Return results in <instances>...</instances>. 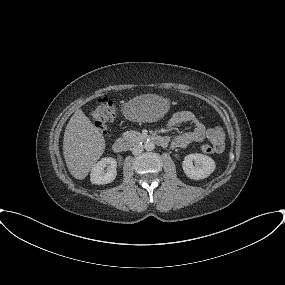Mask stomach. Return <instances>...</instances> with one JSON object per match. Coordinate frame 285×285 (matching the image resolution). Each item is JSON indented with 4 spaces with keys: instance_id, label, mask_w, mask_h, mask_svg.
Instances as JSON below:
<instances>
[{
    "instance_id": "stomach-1",
    "label": "stomach",
    "mask_w": 285,
    "mask_h": 285,
    "mask_svg": "<svg viewBox=\"0 0 285 285\" xmlns=\"http://www.w3.org/2000/svg\"><path fill=\"white\" fill-rule=\"evenodd\" d=\"M167 98L156 94H143L125 104L123 113L133 121L154 122L161 119L169 110Z\"/></svg>"
}]
</instances>
